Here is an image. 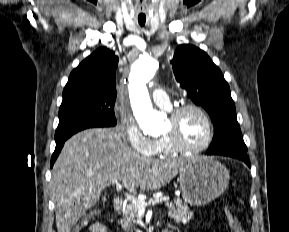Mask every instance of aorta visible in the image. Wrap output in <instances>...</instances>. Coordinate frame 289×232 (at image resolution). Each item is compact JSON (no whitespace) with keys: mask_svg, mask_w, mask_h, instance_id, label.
Instances as JSON below:
<instances>
[{"mask_svg":"<svg viewBox=\"0 0 289 232\" xmlns=\"http://www.w3.org/2000/svg\"><path fill=\"white\" fill-rule=\"evenodd\" d=\"M158 62L150 56H141L132 66L130 75V93L134 115L145 134L158 135L164 128V118L154 110L146 83L151 80Z\"/></svg>","mask_w":289,"mask_h":232,"instance_id":"aorta-1","label":"aorta"}]
</instances>
